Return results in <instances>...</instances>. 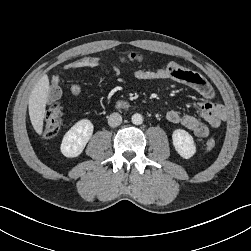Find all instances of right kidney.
Returning a JSON list of instances; mask_svg holds the SVG:
<instances>
[{"instance_id":"right-kidney-1","label":"right kidney","mask_w":251,"mask_h":251,"mask_svg":"<svg viewBox=\"0 0 251 251\" xmlns=\"http://www.w3.org/2000/svg\"><path fill=\"white\" fill-rule=\"evenodd\" d=\"M93 124L88 119L76 122L64 135L60 150L68 158L79 156L93 134Z\"/></svg>"}]
</instances>
